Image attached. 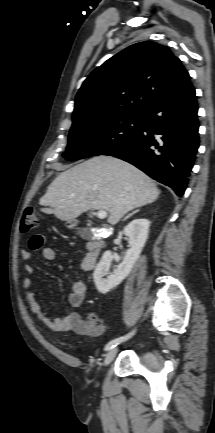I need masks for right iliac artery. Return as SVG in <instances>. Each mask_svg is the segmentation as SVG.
Segmentation results:
<instances>
[{
	"label": "right iliac artery",
	"instance_id": "82829eb1",
	"mask_svg": "<svg viewBox=\"0 0 215 433\" xmlns=\"http://www.w3.org/2000/svg\"><path fill=\"white\" fill-rule=\"evenodd\" d=\"M133 335V333H129L125 336L116 338L111 340L110 342L107 343V345L105 346V351L110 350L111 348H114L115 346H117L118 344H120L121 342L129 339L131 336Z\"/></svg>",
	"mask_w": 215,
	"mask_h": 433
}]
</instances>
